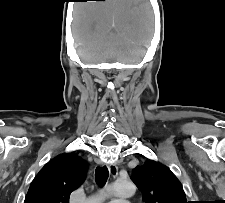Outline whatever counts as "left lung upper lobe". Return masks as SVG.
Returning a JSON list of instances; mask_svg holds the SVG:
<instances>
[{
	"label": "left lung upper lobe",
	"instance_id": "1",
	"mask_svg": "<svg viewBox=\"0 0 225 203\" xmlns=\"http://www.w3.org/2000/svg\"><path fill=\"white\" fill-rule=\"evenodd\" d=\"M131 178L141 190L145 203H189L176 176L156 161L147 160L134 168Z\"/></svg>",
	"mask_w": 225,
	"mask_h": 203
}]
</instances>
